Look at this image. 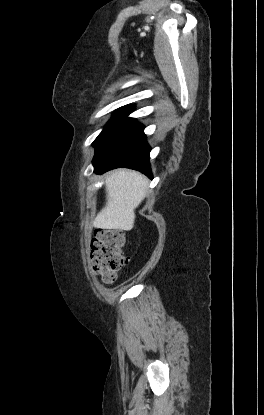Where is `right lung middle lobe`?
Returning a JSON list of instances; mask_svg holds the SVG:
<instances>
[{"label":"right lung middle lobe","mask_w":264,"mask_h":415,"mask_svg":"<svg viewBox=\"0 0 264 415\" xmlns=\"http://www.w3.org/2000/svg\"><path fill=\"white\" fill-rule=\"evenodd\" d=\"M133 109L132 106H124L121 107L120 109H118L113 117L111 118V120L108 122V124L105 126V128L103 129V131L99 134V136L95 139V141L93 142V145H95V143H97L100 138L115 124L117 123L120 119H122L123 117H125L131 110Z\"/></svg>","instance_id":"1"}]
</instances>
